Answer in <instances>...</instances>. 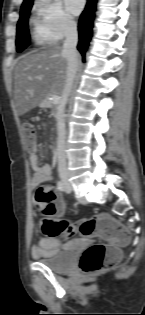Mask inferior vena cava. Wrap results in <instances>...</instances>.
<instances>
[{
    "label": "inferior vena cava",
    "mask_w": 145,
    "mask_h": 315,
    "mask_svg": "<svg viewBox=\"0 0 145 315\" xmlns=\"http://www.w3.org/2000/svg\"><path fill=\"white\" fill-rule=\"evenodd\" d=\"M78 43L77 25L74 22H68L65 29V41L63 44V55L66 58V78L62 91V100L58 107V138H57V158L58 173L61 179L68 178L67 162H66V126L64 121V110L71 93L73 81L78 69L79 57L76 50Z\"/></svg>",
    "instance_id": "obj_1"
}]
</instances>
